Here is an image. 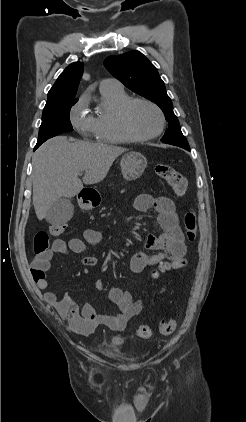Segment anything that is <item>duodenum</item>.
<instances>
[{"instance_id": "1", "label": "duodenum", "mask_w": 246, "mask_h": 422, "mask_svg": "<svg viewBox=\"0 0 246 422\" xmlns=\"http://www.w3.org/2000/svg\"><path fill=\"white\" fill-rule=\"evenodd\" d=\"M83 202L89 207H96L99 204V199L94 195H88L83 197Z\"/></svg>"}]
</instances>
